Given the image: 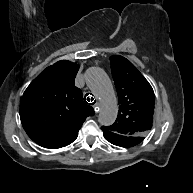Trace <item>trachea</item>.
I'll use <instances>...</instances> for the list:
<instances>
[{
	"label": "trachea",
	"mask_w": 193,
	"mask_h": 193,
	"mask_svg": "<svg viewBox=\"0 0 193 193\" xmlns=\"http://www.w3.org/2000/svg\"><path fill=\"white\" fill-rule=\"evenodd\" d=\"M89 94L92 95L91 93H87V94L85 95V98H86ZM85 98H84V100H85L86 103L92 102V103H89L90 105H94L95 102H96V100H94V98L91 97V96H88L86 99H85ZM87 101H88V102H87ZM93 101H94V102H93Z\"/></svg>",
	"instance_id": "obj_1"
}]
</instances>
